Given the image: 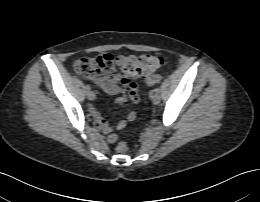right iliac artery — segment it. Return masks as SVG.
<instances>
[{
    "mask_svg": "<svg viewBox=\"0 0 260 202\" xmlns=\"http://www.w3.org/2000/svg\"><path fill=\"white\" fill-rule=\"evenodd\" d=\"M86 90L89 92L91 90V87L89 85H87Z\"/></svg>",
    "mask_w": 260,
    "mask_h": 202,
    "instance_id": "82829eb1",
    "label": "right iliac artery"
}]
</instances>
